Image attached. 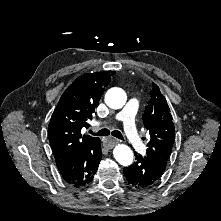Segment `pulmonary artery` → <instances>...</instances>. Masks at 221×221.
I'll return each instance as SVG.
<instances>
[{"mask_svg": "<svg viewBox=\"0 0 221 221\" xmlns=\"http://www.w3.org/2000/svg\"><path fill=\"white\" fill-rule=\"evenodd\" d=\"M138 106V99L132 98L126 104V106L118 112L114 119L117 121H122L124 124L125 134L130 142V144L137 150L145 152L143 142L138 135L136 123H135V113ZM109 121H105L102 124L106 125Z\"/></svg>", "mask_w": 221, "mask_h": 221, "instance_id": "pulmonary-artery-1", "label": "pulmonary artery"}]
</instances>
